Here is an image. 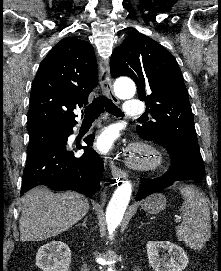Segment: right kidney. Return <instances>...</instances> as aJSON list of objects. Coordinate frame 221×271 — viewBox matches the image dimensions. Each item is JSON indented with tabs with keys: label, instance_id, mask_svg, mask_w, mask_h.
I'll list each match as a JSON object with an SVG mask.
<instances>
[{
	"label": "right kidney",
	"instance_id": "1",
	"mask_svg": "<svg viewBox=\"0 0 221 271\" xmlns=\"http://www.w3.org/2000/svg\"><path fill=\"white\" fill-rule=\"evenodd\" d=\"M36 265L42 271H68L72 261L69 245L64 241H48L39 247L36 257Z\"/></svg>",
	"mask_w": 221,
	"mask_h": 271
}]
</instances>
